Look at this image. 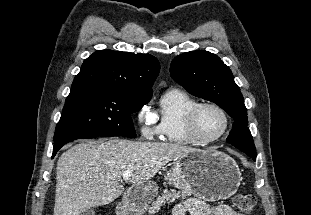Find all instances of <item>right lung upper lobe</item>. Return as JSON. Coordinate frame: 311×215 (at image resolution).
Here are the masks:
<instances>
[{"label": "right lung upper lobe", "mask_w": 311, "mask_h": 215, "mask_svg": "<svg viewBox=\"0 0 311 215\" xmlns=\"http://www.w3.org/2000/svg\"><path fill=\"white\" fill-rule=\"evenodd\" d=\"M159 70V61L150 54L98 50L84 61L72 88L96 87L151 97Z\"/></svg>", "instance_id": "1"}]
</instances>
